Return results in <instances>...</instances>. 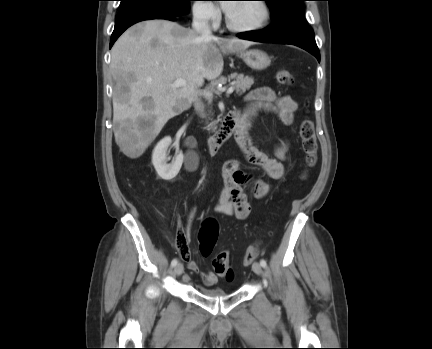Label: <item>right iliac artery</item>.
I'll list each match as a JSON object with an SVG mask.
<instances>
[{
	"label": "right iliac artery",
	"mask_w": 432,
	"mask_h": 349,
	"mask_svg": "<svg viewBox=\"0 0 432 349\" xmlns=\"http://www.w3.org/2000/svg\"><path fill=\"white\" fill-rule=\"evenodd\" d=\"M177 263H178L177 259H173L171 262V266L175 267L177 265Z\"/></svg>",
	"instance_id": "obj_1"
}]
</instances>
